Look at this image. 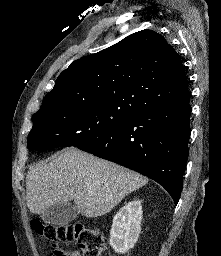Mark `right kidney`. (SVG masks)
<instances>
[{
	"instance_id": "obj_1",
	"label": "right kidney",
	"mask_w": 221,
	"mask_h": 256,
	"mask_svg": "<svg viewBox=\"0 0 221 256\" xmlns=\"http://www.w3.org/2000/svg\"><path fill=\"white\" fill-rule=\"evenodd\" d=\"M142 205L140 200L130 201L113 218L110 245L116 253L125 254L132 249L141 232Z\"/></svg>"
}]
</instances>
